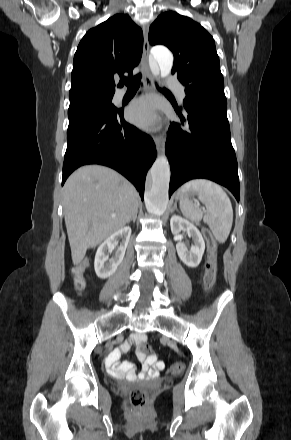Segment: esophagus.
Here are the masks:
<instances>
[{
  "label": "esophagus",
  "instance_id": "obj_1",
  "mask_svg": "<svg viewBox=\"0 0 291 440\" xmlns=\"http://www.w3.org/2000/svg\"><path fill=\"white\" fill-rule=\"evenodd\" d=\"M148 32H149L148 25H144V27H143V33H144L143 58H144L145 66H144L143 75H144V82H145L146 86L148 87L149 90H152L153 89V77H152L151 70H150L149 63H148L149 50H150V45H149V40H148ZM154 140H155L156 150L159 154H161L164 151V146H165V140H164L163 135L155 136Z\"/></svg>",
  "mask_w": 291,
  "mask_h": 440
}]
</instances>
